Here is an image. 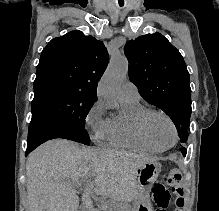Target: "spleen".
Listing matches in <instances>:
<instances>
[{"label":"spleen","mask_w":219,"mask_h":211,"mask_svg":"<svg viewBox=\"0 0 219 211\" xmlns=\"http://www.w3.org/2000/svg\"><path fill=\"white\" fill-rule=\"evenodd\" d=\"M182 165H183V161L182 159H179V167H182Z\"/></svg>","instance_id":"1"}]
</instances>
